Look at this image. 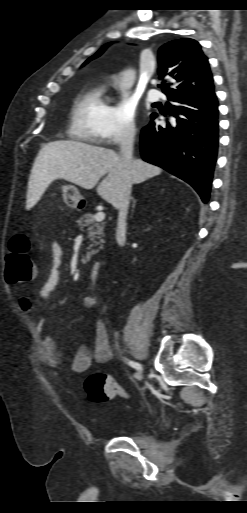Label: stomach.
I'll return each mask as SVG.
<instances>
[{
  "instance_id": "1",
  "label": "stomach",
  "mask_w": 247,
  "mask_h": 513,
  "mask_svg": "<svg viewBox=\"0 0 247 513\" xmlns=\"http://www.w3.org/2000/svg\"><path fill=\"white\" fill-rule=\"evenodd\" d=\"M85 199L80 195L78 189L73 185L64 188V201L68 206L78 209L81 201Z\"/></svg>"
}]
</instances>
